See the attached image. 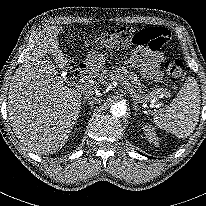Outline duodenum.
Segmentation results:
<instances>
[{
    "label": "duodenum",
    "mask_w": 206,
    "mask_h": 206,
    "mask_svg": "<svg viewBox=\"0 0 206 206\" xmlns=\"http://www.w3.org/2000/svg\"><path fill=\"white\" fill-rule=\"evenodd\" d=\"M86 72H87V68H83V67H78L75 70L76 75H84Z\"/></svg>",
    "instance_id": "obj_1"
}]
</instances>
